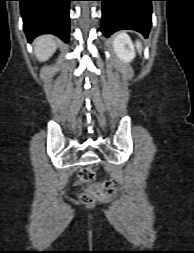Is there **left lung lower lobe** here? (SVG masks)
<instances>
[{
  "mask_svg": "<svg viewBox=\"0 0 194 253\" xmlns=\"http://www.w3.org/2000/svg\"><path fill=\"white\" fill-rule=\"evenodd\" d=\"M102 1V33L131 29L147 37L152 24L151 1L156 0H99Z\"/></svg>",
  "mask_w": 194,
  "mask_h": 253,
  "instance_id": "obj_1",
  "label": "left lung lower lobe"
}]
</instances>
